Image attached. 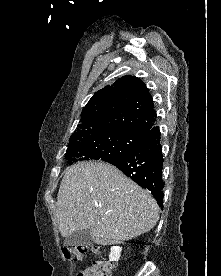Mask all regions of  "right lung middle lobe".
I'll return each mask as SVG.
<instances>
[{
	"instance_id": "dd1d6c3e",
	"label": "right lung middle lobe",
	"mask_w": 221,
	"mask_h": 276,
	"mask_svg": "<svg viewBox=\"0 0 221 276\" xmlns=\"http://www.w3.org/2000/svg\"><path fill=\"white\" fill-rule=\"evenodd\" d=\"M142 140L141 137L127 133L112 132L69 141L65 158L69 165L83 160L110 162L129 154Z\"/></svg>"
}]
</instances>
